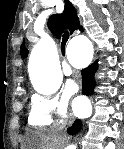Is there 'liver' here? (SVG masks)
I'll return each mask as SVG.
<instances>
[{
	"mask_svg": "<svg viewBox=\"0 0 124 149\" xmlns=\"http://www.w3.org/2000/svg\"><path fill=\"white\" fill-rule=\"evenodd\" d=\"M26 143L30 149H59L64 140L54 131L39 130L28 135Z\"/></svg>",
	"mask_w": 124,
	"mask_h": 149,
	"instance_id": "6515ba94",
	"label": "liver"
}]
</instances>
